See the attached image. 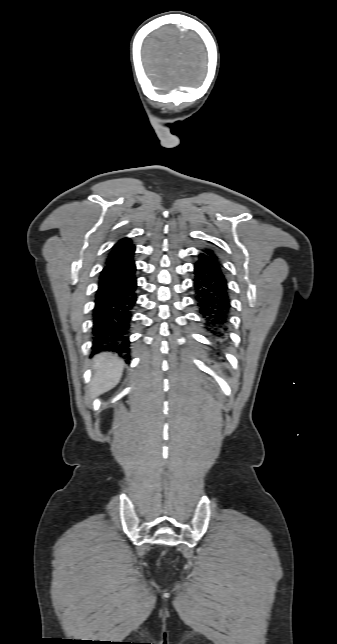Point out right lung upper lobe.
<instances>
[{"instance_id": "cb5924a9", "label": "right lung upper lobe", "mask_w": 337, "mask_h": 644, "mask_svg": "<svg viewBox=\"0 0 337 644\" xmlns=\"http://www.w3.org/2000/svg\"><path fill=\"white\" fill-rule=\"evenodd\" d=\"M135 251V246L129 238L119 240L112 248L108 256L107 263L121 260L124 258L132 257Z\"/></svg>"}]
</instances>
